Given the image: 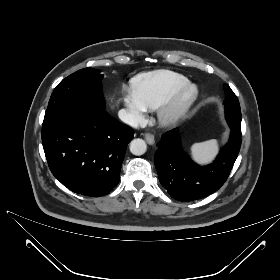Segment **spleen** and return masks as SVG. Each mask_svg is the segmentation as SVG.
<instances>
[{"mask_svg":"<svg viewBox=\"0 0 280 280\" xmlns=\"http://www.w3.org/2000/svg\"><path fill=\"white\" fill-rule=\"evenodd\" d=\"M218 152V143L216 140H208L201 143H195L191 147V157L199 164L210 163Z\"/></svg>","mask_w":280,"mask_h":280,"instance_id":"1","label":"spleen"}]
</instances>
